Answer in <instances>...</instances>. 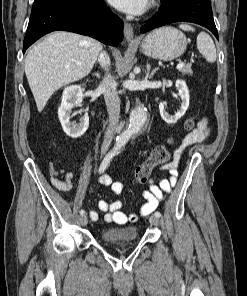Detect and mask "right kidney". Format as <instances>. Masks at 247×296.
Wrapping results in <instances>:
<instances>
[{"mask_svg": "<svg viewBox=\"0 0 247 296\" xmlns=\"http://www.w3.org/2000/svg\"><path fill=\"white\" fill-rule=\"evenodd\" d=\"M83 99V89L79 85L66 87L62 94L61 105L58 108V117L63 131L72 138L82 136L89 127V116L85 113L79 123L70 122L72 109L79 106Z\"/></svg>", "mask_w": 247, "mask_h": 296, "instance_id": "1", "label": "right kidney"}]
</instances>
